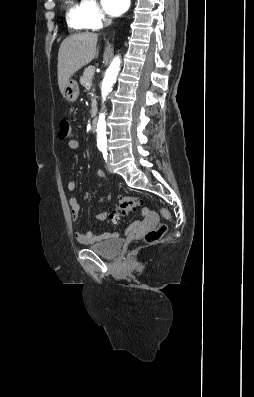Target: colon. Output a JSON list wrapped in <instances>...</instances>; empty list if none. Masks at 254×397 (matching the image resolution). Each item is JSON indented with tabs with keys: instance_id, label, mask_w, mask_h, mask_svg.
<instances>
[{
	"instance_id": "colon-1",
	"label": "colon",
	"mask_w": 254,
	"mask_h": 397,
	"mask_svg": "<svg viewBox=\"0 0 254 397\" xmlns=\"http://www.w3.org/2000/svg\"><path fill=\"white\" fill-rule=\"evenodd\" d=\"M71 132L70 123L66 119H62L59 123V138L66 139L69 137ZM142 204V200L139 197L134 196H123L119 200L118 208L115 212L111 213L109 218L112 221H116L121 215L127 214L131 211L136 210ZM161 214L164 218L169 219L170 213L167 209H161ZM167 231L165 224H160L156 229H153L146 233L144 240L147 243H154L158 241Z\"/></svg>"
}]
</instances>
